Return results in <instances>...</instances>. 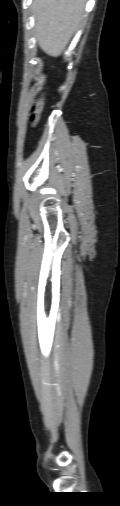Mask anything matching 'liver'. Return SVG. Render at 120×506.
<instances>
[{
    "label": "liver",
    "instance_id": "obj_1",
    "mask_svg": "<svg viewBox=\"0 0 120 506\" xmlns=\"http://www.w3.org/2000/svg\"><path fill=\"white\" fill-rule=\"evenodd\" d=\"M86 0H34L36 36L48 55L59 56L78 29Z\"/></svg>",
    "mask_w": 120,
    "mask_h": 506
}]
</instances>
